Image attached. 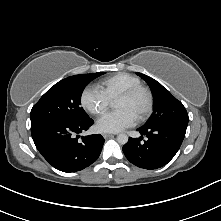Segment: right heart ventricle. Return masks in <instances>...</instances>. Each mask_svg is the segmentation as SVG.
Here are the masks:
<instances>
[{
	"label": "right heart ventricle",
	"mask_w": 221,
	"mask_h": 221,
	"mask_svg": "<svg viewBox=\"0 0 221 221\" xmlns=\"http://www.w3.org/2000/svg\"><path fill=\"white\" fill-rule=\"evenodd\" d=\"M141 85V80L129 73H118L103 79L99 83L100 90L110 99L114 100L123 91Z\"/></svg>",
	"instance_id": "right-heart-ventricle-1"
}]
</instances>
